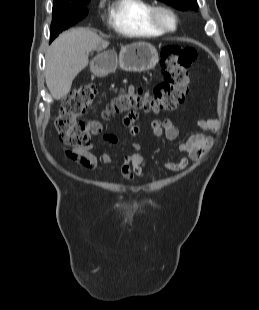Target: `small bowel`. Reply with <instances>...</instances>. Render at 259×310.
Listing matches in <instances>:
<instances>
[{
	"mask_svg": "<svg viewBox=\"0 0 259 310\" xmlns=\"http://www.w3.org/2000/svg\"><path fill=\"white\" fill-rule=\"evenodd\" d=\"M136 119L137 114L132 112L128 113L122 120L131 138L136 137L141 132V127L136 123ZM197 126L203 131L216 132L220 124L214 119H201L198 120ZM150 128L154 137H164L169 141L175 140L179 135V129L169 119L153 120L150 124ZM100 140L113 148L118 149L120 147V139L115 134L104 133L100 136ZM212 144L213 139L211 136L204 133L193 134L186 141L180 143L178 147L179 151L185 153L186 156L177 162L164 163L163 167L170 171L184 170L189 165L190 161L200 159ZM133 148L135 152L124 156L118 164L120 175L128 181H132L135 178L146 177V156L140 151L141 145L139 143L134 142ZM94 149V145H88L74 150L64 149L63 152L66 158L73 161L79 168L94 170L99 165H107L110 163V153L102 152L99 156H96L93 153Z\"/></svg>",
	"mask_w": 259,
	"mask_h": 310,
	"instance_id": "1",
	"label": "small bowel"
}]
</instances>
